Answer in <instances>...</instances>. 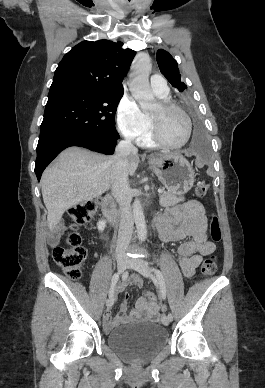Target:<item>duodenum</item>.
<instances>
[{"mask_svg": "<svg viewBox=\"0 0 265 388\" xmlns=\"http://www.w3.org/2000/svg\"><path fill=\"white\" fill-rule=\"evenodd\" d=\"M102 212L108 223L112 226L118 222V213L115 207L114 198L111 195H107L102 202ZM153 226L161 232L164 228V222L161 218L157 217L153 220Z\"/></svg>", "mask_w": 265, "mask_h": 388, "instance_id": "duodenum-1", "label": "duodenum"}]
</instances>
